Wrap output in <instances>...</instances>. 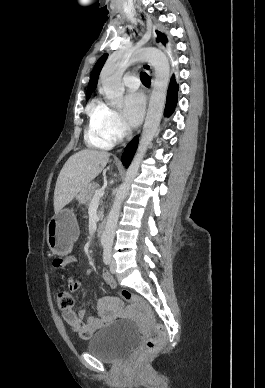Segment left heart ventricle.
I'll return each instance as SVG.
<instances>
[{
	"label": "left heart ventricle",
	"mask_w": 265,
	"mask_h": 388,
	"mask_svg": "<svg viewBox=\"0 0 265 388\" xmlns=\"http://www.w3.org/2000/svg\"><path fill=\"white\" fill-rule=\"evenodd\" d=\"M125 88V90H128L129 88L127 86H123Z\"/></svg>",
	"instance_id": "left-heart-ventricle-1"
}]
</instances>
